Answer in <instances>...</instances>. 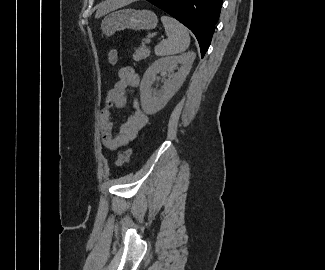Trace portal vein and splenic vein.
I'll use <instances>...</instances> for the list:
<instances>
[{"instance_id": "18ae733b", "label": "portal vein and splenic vein", "mask_w": 325, "mask_h": 270, "mask_svg": "<svg viewBox=\"0 0 325 270\" xmlns=\"http://www.w3.org/2000/svg\"><path fill=\"white\" fill-rule=\"evenodd\" d=\"M146 43H150V39H147V40H146Z\"/></svg>"}]
</instances>
